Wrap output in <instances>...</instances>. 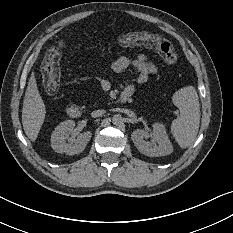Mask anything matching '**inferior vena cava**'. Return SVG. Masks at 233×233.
Here are the masks:
<instances>
[{
	"label": "inferior vena cava",
	"mask_w": 233,
	"mask_h": 233,
	"mask_svg": "<svg viewBox=\"0 0 233 233\" xmlns=\"http://www.w3.org/2000/svg\"><path fill=\"white\" fill-rule=\"evenodd\" d=\"M106 111L104 109H97L91 112L92 117H102L105 115Z\"/></svg>",
	"instance_id": "1"
}]
</instances>
